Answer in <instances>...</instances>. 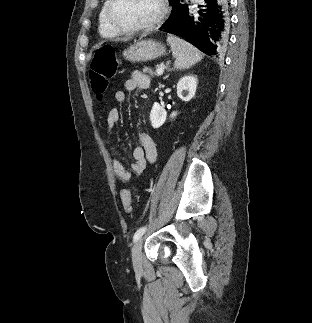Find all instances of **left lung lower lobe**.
I'll list each match as a JSON object with an SVG mask.
<instances>
[{
  "label": "left lung lower lobe",
  "mask_w": 312,
  "mask_h": 323,
  "mask_svg": "<svg viewBox=\"0 0 312 323\" xmlns=\"http://www.w3.org/2000/svg\"><path fill=\"white\" fill-rule=\"evenodd\" d=\"M191 6L180 0L174 16L161 30L179 36L208 56L223 55L229 42V6L227 0H203Z\"/></svg>",
  "instance_id": "left-lung-lower-lobe-1"
}]
</instances>
